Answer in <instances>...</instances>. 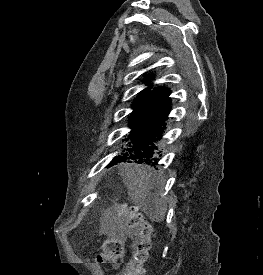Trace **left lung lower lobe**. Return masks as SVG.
I'll return each mask as SVG.
<instances>
[{
  "label": "left lung lower lobe",
  "instance_id": "obj_1",
  "mask_svg": "<svg viewBox=\"0 0 263 275\" xmlns=\"http://www.w3.org/2000/svg\"><path fill=\"white\" fill-rule=\"evenodd\" d=\"M170 90L159 86L150 91L129 117L128 127L131 129L123 141H130L126 152L116 156L107 167L116 162L156 165L162 156L155 150L154 143L162 138L165 120L171 111Z\"/></svg>",
  "mask_w": 263,
  "mask_h": 275
}]
</instances>
